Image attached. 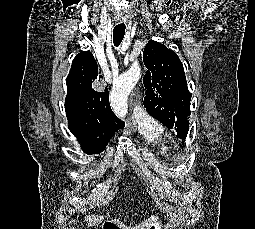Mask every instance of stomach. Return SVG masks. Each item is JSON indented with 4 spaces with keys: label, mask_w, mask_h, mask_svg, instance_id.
<instances>
[{
    "label": "stomach",
    "mask_w": 255,
    "mask_h": 229,
    "mask_svg": "<svg viewBox=\"0 0 255 229\" xmlns=\"http://www.w3.org/2000/svg\"><path fill=\"white\" fill-rule=\"evenodd\" d=\"M113 225L115 226V229H122L120 226H118L115 223H113ZM149 229H163V225L161 222L157 221L151 227H149Z\"/></svg>",
    "instance_id": "stomach-1"
}]
</instances>
